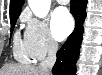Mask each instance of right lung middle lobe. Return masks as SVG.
Here are the masks:
<instances>
[{
    "label": "right lung middle lobe",
    "mask_w": 102,
    "mask_h": 75,
    "mask_svg": "<svg viewBox=\"0 0 102 75\" xmlns=\"http://www.w3.org/2000/svg\"><path fill=\"white\" fill-rule=\"evenodd\" d=\"M18 16H19V15H15V16H11V17H10L11 32H12L13 29H14V26H15V23H16V21H17Z\"/></svg>",
    "instance_id": "dd1d6c3e"
}]
</instances>
